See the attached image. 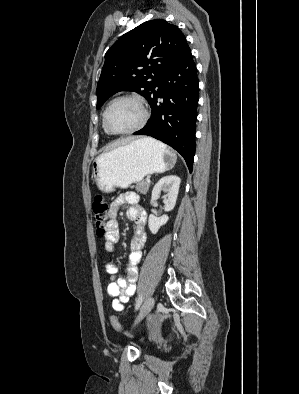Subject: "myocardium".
I'll return each instance as SVG.
<instances>
[{"instance_id": "f54148a6", "label": "myocardium", "mask_w": 299, "mask_h": 394, "mask_svg": "<svg viewBox=\"0 0 299 394\" xmlns=\"http://www.w3.org/2000/svg\"><path fill=\"white\" fill-rule=\"evenodd\" d=\"M120 100H131V101H134L140 107L141 113H142V117H141V120L139 121V123L136 126H134L133 128H131L129 130H126V131L117 132V131H113L109 127L107 118H108V113H109V110L111 109V107L116 102H118ZM148 119H149V111H148V108L145 105V102L140 97H138L136 95H131V94L120 95V96L114 98L113 100H111L109 102V104L107 105L104 113H103V125H104V128L106 129V131L109 134H112V135H129V134H133V133L139 131L140 129H142L146 125Z\"/></svg>"}]
</instances>
